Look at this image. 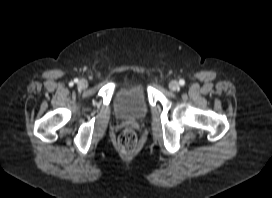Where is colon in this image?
<instances>
[{
	"label": "colon",
	"instance_id": "colon-1",
	"mask_svg": "<svg viewBox=\"0 0 272 198\" xmlns=\"http://www.w3.org/2000/svg\"><path fill=\"white\" fill-rule=\"evenodd\" d=\"M137 135L131 128L124 129L117 138V147L121 154L130 155L137 148Z\"/></svg>",
	"mask_w": 272,
	"mask_h": 198
}]
</instances>
